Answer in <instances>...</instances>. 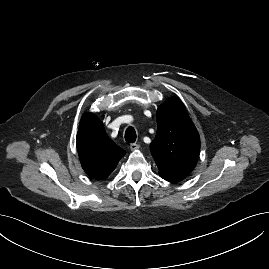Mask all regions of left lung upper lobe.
Listing matches in <instances>:
<instances>
[{"label":"left lung upper lobe","mask_w":269,"mask_h":269,"mask_svg":"<svg viewBox=\"0 0 269 269\" xmlns=\"http://www.w3.org/2000/svg\"><path fill=\"white\" fill-rule=\"evenodd\" d=\"M157 134L150 145L159 174L185 177L195 167L200 138L184 104L175 97L159 106L156 114Z\"/></svg>","instance_id":"left-lung-upper-lobe-1"}]
</instances>
